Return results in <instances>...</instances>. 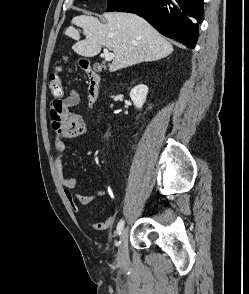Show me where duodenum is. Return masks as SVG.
Returning a JSON list of instances; mask_svg holds the SVG:
<instances>
[{
    "mask_svg": "<svg viewBox=\"0 0 249 294\" xmlns=\"http://www.w3.org/2000/svg\"><path fill=\"white\" fill-rule=\"evenodd\" d=\"M88 76L87 99L90 107H93L100 97L101 77L98 72L86 67Z\"/></svg>",
    "mask_w": 249,
    "mask_h": 294,
    "instance_id": "obj_1",
    "label": "duodenum"
}]
</instances>
